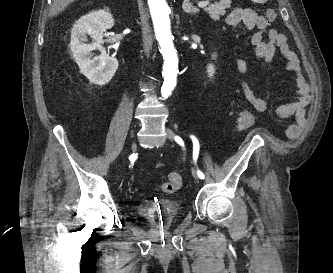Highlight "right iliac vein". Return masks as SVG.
Here are the masks:
<instances>
[{"label":"right iliac vein","mask_w":333,"mask_h":273,"mask_svg":"<svg viewBox=\"0 0 333 273\" xmlns=\"http://www.w3.org/2000/svg\"><path fill=\"white\" fill-rule=\"evenodd\" d=\"M131 149L132 150H135L136 149V144L133 142L132 145H131Z\"/></svg>","instance_id":"obj_1"}]
</instances>
